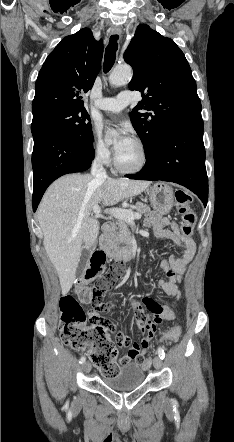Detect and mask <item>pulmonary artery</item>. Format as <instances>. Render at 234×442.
Returning <instances> with one entry per match:
<instances>
[{"label": "pulmonary artery", "mask_w": 234, "mask_h": 442, "mask_svg": "<svg viewBox=\"0 0 234 442\" xmlns=\"http://www.w3.org/2000/svg\"><path fill=\"white\" fill-rule=\"evenodd\" d=\"M134 98L129 92H121L114 98H100L95 102L97 108L103 111L120 112L129 104L133 103Z\"/></svg>", "instance_id": "pulmonary-artery-1"}]
</instances>
